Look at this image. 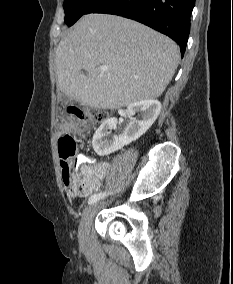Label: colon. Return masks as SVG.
I'll return each mask as SVG.
<instances>
[{
    "instance_id": "5ec220e1",
    "label": "colon",
    "mask_w": 233,
    "mask_h": 284,
    "mask_svg": "<svg viewBox=\"0 0 233 284\" xmlns=\"http://www.w3.org/2000/svg\"><path fill=\"white\" fill-rule=\"evenodd\" d=\"M68 113L74 116L85 129H93L105 120L107 113L97 108H87L80 105L68 107ZM76 141L70 134L63 135L59 140V157L63 182L72 194H89L93 187L90 174L83 172L76 163Z\"/></svg>"
}]
</instances>
